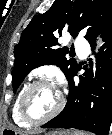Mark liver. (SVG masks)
<instances>
[{"label": "liver", "instance_id": "obj_1", "mask_svg": "<svg viewBox=\"0 0 112 135\" xmlns=\"http://www.w3.org/2000/svg\"><path fill=\"white\" fill-rule=\"evenodd\" d=\"M21 135H30V133L28 134V133H21Z\"/></svg>", "mask_w": 112, "mask_h": 135}]
</instances>
